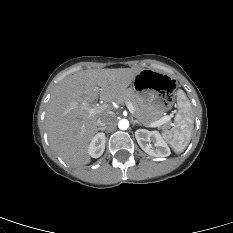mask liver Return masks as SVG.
Instances as JSON below:
<instances>
[{"mask_svg":"<svg viewBox=\"0 0 233 233\" xmlns=\"http://www.w3.org/2000/svg\"><path fill=\"white\" fill-rule=\"evenodd\" d=\"M141 71L139 68L83 70L56 86L48 102L45 122L52 148L66 163L82 166L91 161L88 146L97 133V120L113 115L110 103L125 95ZM98 96L107 103V109L90 115L82 105L91 106Z\"/></svg>","mask_w":233,"mask_h":233,"instance_id":"obj_1","label":"liver"}]
</instances>
